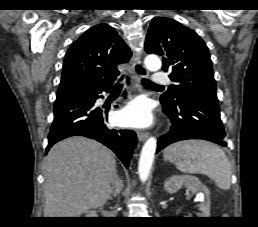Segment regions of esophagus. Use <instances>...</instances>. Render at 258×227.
<instances>
[{
    "instance_id": "34e87169",
    "label": "esophagus",
    "mask_w": 258,
    "mask_h": 227,
    "mask_svg": "<svg viewBox=\"0 0 258 227\" xmlns=\"http://www.w3.org/2000/svg\"><path fill=\"white\" fill-rule=\"evenodd\" d=\"M132 65H133V68H134V71H135V77H136L137 84L139 85L140 80L142 78H145V77L148 76V72L145 69V67L142 65V62H141L140 58L138 57V55L133 56ZM137 136H138V139L141 142H143L148 138L149 133L145 132V131H139L137 133Z\"/></svg>"
}]
</instances>
